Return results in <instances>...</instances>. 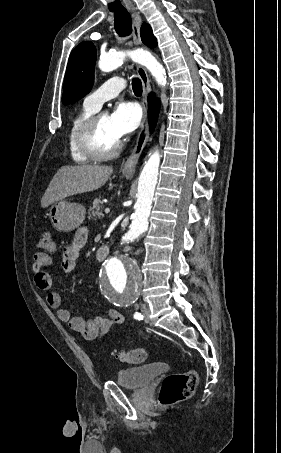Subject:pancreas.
Listing matches in <instances>:
<instances>
[{
  "mask_svg": "<svg viewBox=\"0 0 281 453\" xmlns=\"http://www.w3.org/2000/svg\"><path fill=\"white\" fill-rule=\"evenodd\" d=\"M104 200H102L101 196L99 198H95L94 202H92V206L89 208L88 218H102L103 214V204Z\"/></svg>",
  "mask_w": 281,
  "mask_h": 453,
  "instance_id": "cf45deb5",
  "label": "pancreas"
}]
</instances>
